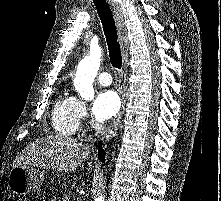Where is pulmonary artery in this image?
<instances>
[{
	"label": "pulmonary artery",
	"instance_id": "pulmonary-artery-1",
	"mask_svg": "<svg viewBox=\"0 0 221 201\" xmlns=\"http://www.w3.org/2000/svg\"><path fill=\"white\" fill-rule=\"evenodd\" d=\"M98 81L103 86H109L112 82V78H111L110 73H108V72L100 73V75L98 77Z\"/></svg>",
	"mask_w": 221,
	"mask_h": 201
}]
</instances>
